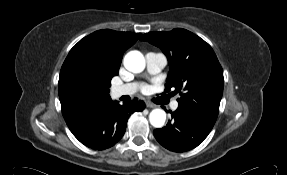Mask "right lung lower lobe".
<instances>
[{"label": "right lung lower lobe", "instance_id": "1", "mask_svg": "<svg viewBox=\"0 0 287 175\" xmlns=\"http://www.w3.org/2000/svg\"><path fill=\"white\" fill-rule=\"evenodd\" d=\"M144 108L143 101H129L120 105L109 98L88 109L84 114L65 121L82 144L95 150H104L122 138L131 113L142 111Z\"/></svg>", "mask_w": 287, "mask_h": 175}]
</instances>
